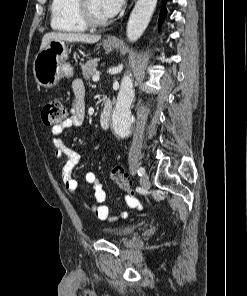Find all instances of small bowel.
I'll list each match as a JSON object with an SVG mask.
<instances>
[{
  "instance_id": "1",
  "label": "small bowel",
  "mask_w": 247,
  "mask_h": 296,
  "mask_svg": "<svg viewBox=\"0 0 247 296\" xmlns=\"http://www.w3.org/2000/svg\"><path fill=\"white\" fill-rule=\"evenodd\" d=\"M73 102L68 117L60 124L52 127L50 132V139L55 149L56 158L60 159L63 156L67 157V161L62 167L61 176L65 189L70 194L74 195L81 203V205L88 211L95 214L100 220H107L109 218V209L104 204L106 200V192L103 189L98 177L93 172H88L85 175V181L93 186V194L90 196L88 203H86L79 195L78 181L73 177V169L85 157L84 154L70 149L61 140V133L65 129L79 128L84 123L85 115V86L81 80H74L72 83ZM124 200L129 207H137L141 209L139 202L129 196L125 195ZM121 217L127 216L126 213L120 214Z\"/></svg>"
}]
</instances>
